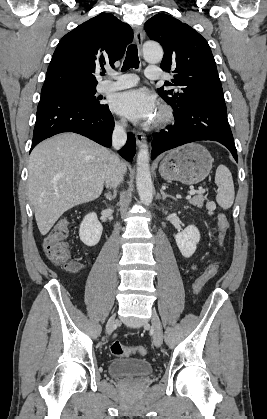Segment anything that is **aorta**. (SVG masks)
Segmentation results:
<instances>
[{
	"label": "aorta",
	"instance_id": "762f6f07",
	"mask_svg": "<svg viewBox=\"0 0 267 419\" xmlns=\"http://www.w3.org/2000/svg\"><path fill=\"white\" fill-rule=\"evenodd\" d=\"M146 61L158 63L163 58L162 47L153 42H146L143 46ZM149 150L147 144H142L137 155L136 186L141 202L148 206L153 200V184L149 166Z\"/></svg>",
	"mask_w": 267,
	"mask_h": 419
}]
</instances>
